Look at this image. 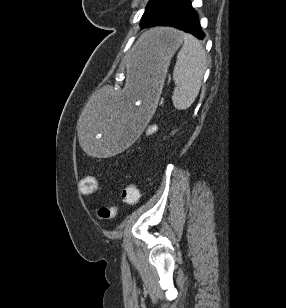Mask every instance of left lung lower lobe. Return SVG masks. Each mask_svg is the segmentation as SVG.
I'll list each match as a JSON object with an SVG mask.
<instances>
[{"mask_svg": "<svg viewBox=\"0 0 286 308\" xmlns=\"http://www.w3.org/2000/svg\"><path fill=\"white\" fill-rule=\"evenodd\" d=\"M154 25L179 28L199 39H203L205 36L190 0H172L167 7L160 11L148 27Z\"/></svg>", "mask_w": 286, "mask_h": 308, "instance_id": "left-lung-lower-lobe-1", "label": "left lung lower lobe"}]
</instances>
